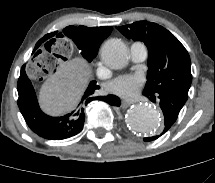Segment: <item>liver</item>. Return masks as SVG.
<instances>
[{"instance_id":"obj_1","label":"liver","mask_w":215,"mask_h":183,"mask_svg":"<svg viewBox=\"0 0 215 183\" xmlns=\"http://www.w3.org/2000/svg\"><path fill=\"white\" fill-rule=\"evenodd\" d=\"M90 74L88 63L81 57L61 63L40 89L42 110L53 116L71 111L87 88Z\"/></svg>"}]
</instances>
